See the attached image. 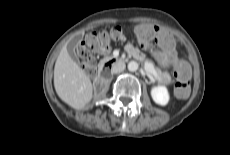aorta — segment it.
Returning <instances> with one entry per match:
<instances>
[{"label":"aorta","instance_id":"762f6f07","mask_svg":"<svg viewBox=\"0 0 230 155\" xmlns=\"http://www.w3.org/2000/svg\"><path fill=\"white\" fill-rule=\"evenodd\" d=\"M138 68H139V64L136 61H130L128 63V70L130 72H135L138 70Z\"/></svg>","mask_w":230,"mask_h":155}]
</instances>
